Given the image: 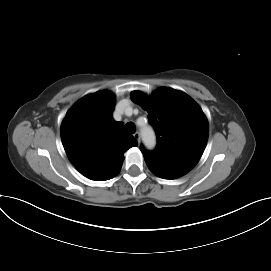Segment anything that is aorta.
I'll list each match as a JSON object with an SVG mask.
<instances>
[{"label":"aorta","mask_w":271,"mask_h":271,"mask_svg":"<svg viewBox=\"0 0 271 271\" xmlns=\"http://www.w3.org/2000/svg\"><path fill=\"white\" fill-rule=\"evenodd\" d=\"M142 139H143L144 144L148 148H152L156 144L155 134L151 128H144L142 130Z\"/></svg>","instance_id":"obj_1"}]
</instances>
